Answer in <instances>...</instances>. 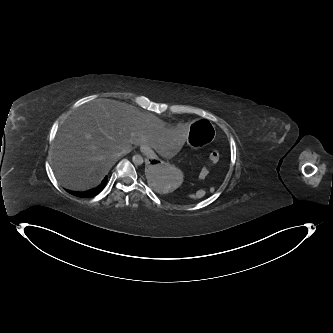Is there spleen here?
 I'll return each instance as SVG.
<instances>
[{
	"label": "spleen",
	"instance_id": "spleen-1",
	"mask_svg": "<svg viewBox=\"0 0 333 333\" xmlns=\"http://www.w3.org/2000/svg\"><path fill=\"white\" fill-rule=\"evenodd\" d=\"M202 196H204V192L199 191V192L197 193V197H202Z\"/></svg>",
	"mask_w": 333,
	"mask_h": 333
}]
</instances>
